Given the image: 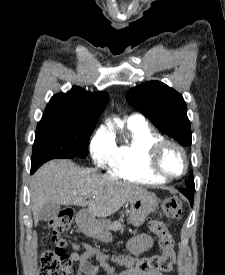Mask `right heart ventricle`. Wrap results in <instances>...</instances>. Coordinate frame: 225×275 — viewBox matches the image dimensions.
<instances>
[{"label":"right heart ventricle","mask_w":225,"mask_h":275,"mask_svg":"<svg viewBox=\"0 0 225 275\" xmlns=\"http://www.w3.org/2000/svg\"><path fill=\"white\" fill-rule=\"evenodd\" d=\"M129 135L125 143L115 147L108 162L109 174L139 184H159L164 182L154 174L148 165L152 146L165 140L148 124H128Z\"/></svg>","instance_id":"e07e8e85"}]
</instances>
